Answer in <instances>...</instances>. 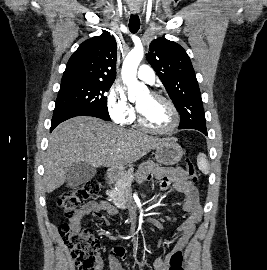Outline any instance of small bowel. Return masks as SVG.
Segmentation results:
<instances>
[{
  "mask_svg": "<svg viewBox=\"0 0 267 270\" xmlns=\"http://www.w3.org/2000/svg\"><path fill=\"white\" fill-rule=\"evenodd\" d=\"M158 179L161 189H166L173 185L174 189L184 196L182 211L187 214L185 220L177 228L176 244L167 256L157 257L153 262L154 270H168L169 260L172 253L182 251L195 234L197 224L202 219V207L199 203L198 190L193 182L188 180L186 172L181 168H162L154 164L145 165L138 174V181H149ZM108 210L111 215H117L118 211L106 201H90L81 207L71 217L70 223L73 226L80 225L87 216H93L108 220L102 214V211ZM126 258V250L122 246H115L109 260L110 270H123L120 260Z\"/></svg>",
  "mask_w": 267,
  "mask_h": 270,
  "instance_id": "c3829d8e",
  "label": "small bowel"
}]
</instances>
